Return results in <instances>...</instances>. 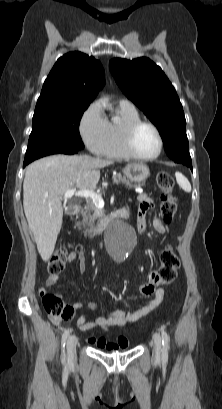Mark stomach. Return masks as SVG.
<instances>
[{
    "label": "stomach",
    "instance_id": "stomach-1",
    "mask_svg": "<svg viewBox=\"0 0 222 409\" xmlns=\"http://www.w3.org/2000/svg\"><path fill=\"white\" fill-rule=\"evenodd\" d=\"M124 175L132 182H143L150 175L147 165L143 163H130L123 168Z\"/></svg>",
    "mask_w": 222,
    "mask_h": 409
}]
</instances>
